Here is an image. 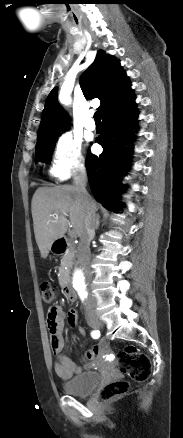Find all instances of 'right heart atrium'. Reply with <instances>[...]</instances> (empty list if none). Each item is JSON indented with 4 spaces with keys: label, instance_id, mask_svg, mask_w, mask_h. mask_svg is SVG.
<instances>
[{
    "label": "right heart atrium",
    "instance_id": "1",
    "mask_svg": "<svg viewBox=\"0 0 183 438\" xmlns=\"http://www.w3.org/2000/svg\"><path fill=\"white\" fill-rule=\"evenodd\" d=\"M84 168L81 140L71 132L62 133L54 144L51 175L64 179L83 171Z\"/></svg>",
    "mask_w": 183,
    "mask_h": 438
}]
</instances>
